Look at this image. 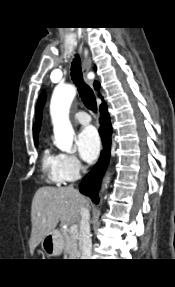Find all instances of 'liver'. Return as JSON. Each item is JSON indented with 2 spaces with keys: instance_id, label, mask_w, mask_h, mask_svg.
<instances>
[{
  "instance_id": "liver-1",
  "label": "liver",
  "mask_w": 175,
  "mask_h": 287,
  "mask_svg": "<svg viewBox=\"0 0 175 287\" xmlns=\"http://www.w3.org/2000/svg\"><path fill=\"white\" fill-rule=\"evenodd\" d=\"M88 204V199L75 189L50 186L39 188L31 206L30 253H34L42 239L53 231L59 222L69 224L76 221L81 208L87 207Z\"/></svg>"
}]
</instances>
